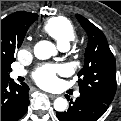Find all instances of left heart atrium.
<instances>
[{"instance_id":"1","label":"left heart atrium","mask_w":121,"mask_h":121,"mask_svg":"<svg viewBox=\"0 0 121 121\" xmlns=\"http://www.w3.org/2000/svg\"><path fill=\"white\" fill-rule=\"evenodd\" d=\"M60 71L59 65H45L35 73L34 79L42 87H51L56 83V75Z\"/></svg>"}]
</instances>
